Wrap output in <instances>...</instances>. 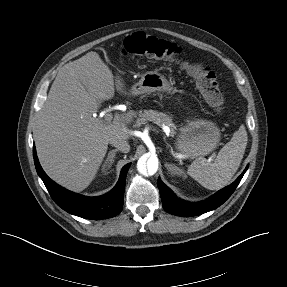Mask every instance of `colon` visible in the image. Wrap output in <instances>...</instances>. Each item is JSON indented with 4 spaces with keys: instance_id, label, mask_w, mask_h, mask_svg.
I'll return each mask as SVG.
<instances>
[{
    "instance_id": "obj_1",
    "label": "colon",
    "mask_w": 287,
    "mask_h": 287,
    "mask_svg": "<svg viewBox=\"0 0 287 287\" xmlns=\"http://www.w3.org/2000/svg\"><path fill=\"white\" fill-rule=\"evenodd\" d=\"M121 51L124 54L180 61L195 79L205 101L217 111L222 109L224 98L214 71L202 63L182 61V51L176 44L144 32H135L124 40Z\"/></svg>"
}]
</instances>
